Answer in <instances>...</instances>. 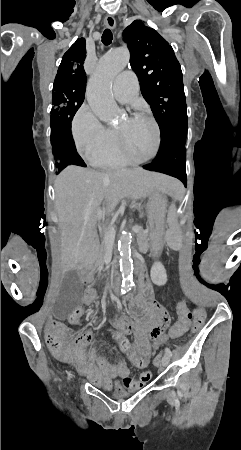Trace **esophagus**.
<instances>
[{"mask_svg":"<svg viewBox=\"0 0 241 450\" xmlns=\"http://www.w3.org/2000/svg\"><path fill=\"white\" fill-rule=\"evenodd\" d=\"M105 25L109 28H115L116 21L115 18L112 15H108L104 20Z\"/></svg>","mask_w":241,"mask_h":450,"instance_id":"esophagus-1","label":"esophagus"}]
</instances>
